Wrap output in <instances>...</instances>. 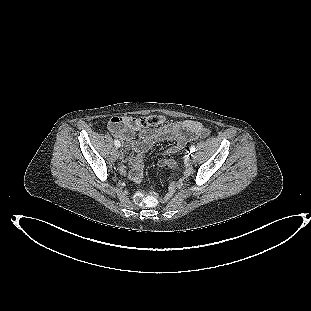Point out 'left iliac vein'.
I'll return each instance as SVG.
<instances>
[{
  "mask_svg": "<svg viewBox=\"0 0 311 311\" xmlns=\"http://www.w3.org/2000/svg\"><path fill=\"white\" fill-rule=\"evenodd\" d=\"M195 161H196V157H195V155H192V156H191V162H192V163H195Z\"/></svg>",
  "mask_w": 311,
  "mask_h": 311,
  "instance_id": "4c4485c4",
  "label": "left iliac vein"
}]
</instances>
